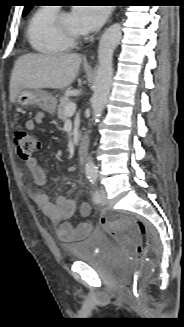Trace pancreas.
<instances>
[{"instance_id":"cf45deb5","label":"pancreas","mask_w":184,"mask_h":327,"mask_svg":"<svg viewBox=\"0 0 184 327\" xmlns=\"http://www.w3.org/2000/svg\"><path fill=\"white\" fill-rule=\"evenodd\" d=\"M59 102L60 104L58 105L57 115L61 121H65L68 118V116L65 114V107L67 104L71 103V100L63 96L60 98Z\"/></svg>"}]
</instances>
